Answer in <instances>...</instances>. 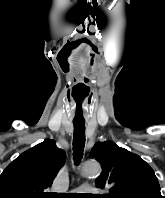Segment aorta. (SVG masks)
<instances>
[{
    "instance_id": "762f6f07",
    "label": "aorta",
    "mask_w": 165,
    "mask_h": 198,
    "mask_svg": "<svg viewBox=\"0 0 165 198\" xmlns=\"http://www.w3.org/2000/svg\"><path fill=\"white\" fill-rule=\"evenodd\" d=\"M80 172L84 177L96 176L101 173V167L98 163L87 162L82 165Z\"/></svg>"
}]
</instances>
